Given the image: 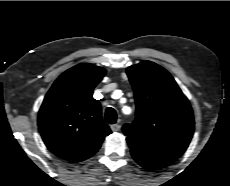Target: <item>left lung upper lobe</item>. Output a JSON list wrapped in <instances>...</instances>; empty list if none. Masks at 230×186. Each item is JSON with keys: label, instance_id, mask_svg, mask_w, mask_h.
<instances>
[{"label": "left lung upper lobe", "instance_id": "obj_1", "mask_svg": "<svg viewBox=\"0 0 230 186\" xmlns=\"http://www.w3.org/2000/svg\"><path fill=\"white\" fill-rule=\"evenodd\" d=\"M136 99V119L123 132L131 152L174 161L187 149L194 132L188 99L161 66L144 61L127 68Z\"/></svg>", "mask_w": 230, "mask_h": 186}]
</instances>
